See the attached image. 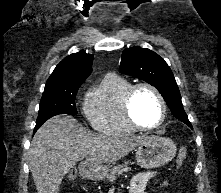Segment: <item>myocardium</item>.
I'll use <instances>...</instances> for the list:
<instances>
[{
    "label": "myocardium",
    "mask_w": 221,
    "mask_h": 193,
    "mask_svg": "<svg viewBox=\"0 0 221 193\" xmlns=\"http://www.w3.org/2000/svg\"><path fill=\"white\" fill-rule=\"evenodd\" d=\"M142 88H146V89H149L150 91H152L156 95V97L158 98L159 103L161 105V117H160V120L158 121V123L154 126H150V127L142 126L133 117L132 101H133V98H134L136 92ZM123 110H124V114H125L127 121L134 128L141 130V131H146V132H152V131H156V130L160 129L162 127V125L164 124L166 117H167V104H166V101H165L162 93L154 85L147 83V82H140V83L133 84L130 86V88L127 90L124 100H123Z\"/></svg>",
    "instance_id": "f54148a6"
}]
</instances>
